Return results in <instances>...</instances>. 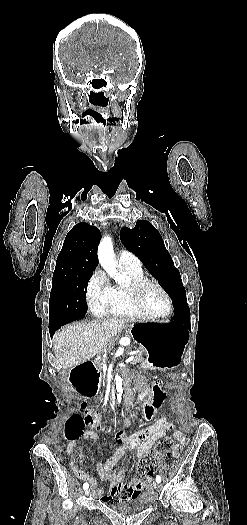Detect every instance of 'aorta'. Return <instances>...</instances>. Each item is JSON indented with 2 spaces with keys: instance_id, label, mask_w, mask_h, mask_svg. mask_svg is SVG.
<instances>
[{
  "instance_id": "obj_1",
  "label": "aorta",
  "mask_w": 247,
  "mask_h": 525,
  "mask_svg": "<svg viewBox=\"0 0 247 525\" xmlns=\"http://www.w3.org/2000/svg\"><path fill=\"white\" fill-rule=\"evenodd\" d=\"M98 259L99 263L107 274L115 280L119 285H123L126 282V276L120 272L117 268V262L113 251L112 239L109 236H105L98 246ZM116 388L118 390V402H121L122 395V379L120 376H115Z\"/></svg>"
}]
</instances>
